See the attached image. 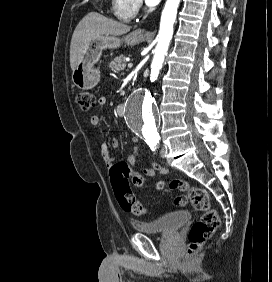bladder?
Segmentation results:
<instances>
[{"mask_svg":"<svg viewBox=\"0 0 272 282\" xmlns=\"http://www.w3.org/2000/svg\"><path fill=\"white\" fill-rule=\"evenodd\" d=\"M189 217L187 211L181 210L152 221L133 220L132 225L135 230L144 234H168L176 232Z\"/></svg>","mask_w":272,"mask_h":282,"instance_id":"obj_1","label":"bladder"}]
</instances>
